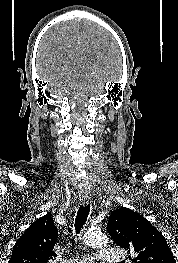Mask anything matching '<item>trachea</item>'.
Here are the masks:
<instances>
[{
  "label": "trachea",
  "instance_id": "trachea-1",
  "mask_svg": "<svg viewBox=\"0 0 178 263\" xmlns=\"http://www.w3.org/2000/svg\"><path fill=\"white\" fill-rule=\"evenodd\" d=\"M90 212V205L80 206L75 219V231L79 233L83 228Z\"/></svg>",
  "mask_w": 178,
  "mask_h": 263
}]
</instances>
